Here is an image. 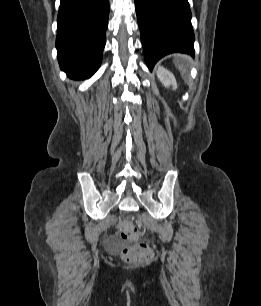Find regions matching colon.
I'll list each match as a JSON object with an SVG mask.
<instances>
[{
	"instance_id": "obj_1",
	"label": "colon",
	"mask_w": 261,
	"mask_h": 306,
	"mask_svg": "<svg viewBox=\"0 0 261 306\" xmlns=\"http://www.w3.org/2000/svg\"><path fill=\"white\" fill-rule=\"evenodd\" d=\"M119 231L121 237L127 241L134 240L138 235L137 228L130 221L122 222ZM151 255V249L143 244H130L122 250L123 260L133 265H141L148 262Z\"/></svg>"
}]
</instances>
